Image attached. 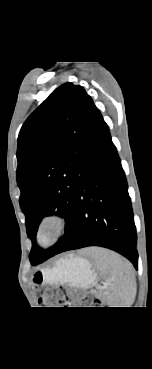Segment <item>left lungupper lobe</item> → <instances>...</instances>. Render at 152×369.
Returning a JSON list of instances; mask_svg holds the SVG:
<instances>
[{
  "label": "left lung upper lobe",
  "instance_id": "5c2ea615",
  "mask_svg": "<svg viewBox=\"0 0 152 369\" xmlns=\"http://www.w3.org/2000/svg\"><path fill=\"white\" fill-rule=\"evenodd\" d=\"M99 116L84 88L67 82L50 94L20 130L17 183L32 240V265L54 256L73 225L76 190L84 173L83 156ZM52 214L65 218V233L44 250L36 244V232L41 219Z\"/></svg>",
  "mask_w": 152,
  "mask_h": 369
}]
</instances>
